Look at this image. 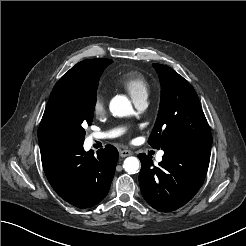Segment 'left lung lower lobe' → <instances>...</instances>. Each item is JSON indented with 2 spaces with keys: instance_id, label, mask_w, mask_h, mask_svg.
Masks as SVG:
<instances>
[{
  "instance_id": "0a47b994",
  "label": "left lung lower lobe",
  "mask_w": 246,
  "mask_h": 246,
  "mask_svg": "<svg viewBox=\"0 0 246 246\" xmlns=\"http://www.w3.org/2000/svg\"><path fill=\"white\" fill-rule=\"evenodd\" d=\"M162 150L163 159L157 167L148 155H138L141 161L139 184L150 206L158 211L171 212L191 200L203 184L211 144L179 143Z\"/></svg>"
}]
</instances>
